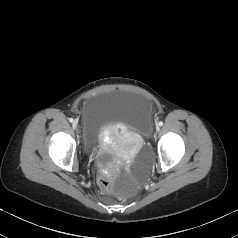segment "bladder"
Instances as JSON below:
<instances>
[{
	"label": "bladder",
	"instance_id": "obj_1",
	"mask_svg": "<svg viewBox=\"0 0 238 238\" xmlns=\"http://www.w3.org/2000/svg\"><path fill=\"white\" fill-rule=\"evenodd\" d=\"M152 113L151 101L138 93L111 90L94 95L85 101L82 109L84 147L95 149L104 129L117 123L145 137L151 131ZM98 163L104 165L106 159L99 157Z\"/></svg>",
	"mask_w": 238,
	"mask_h": 238
}]
</instances>
